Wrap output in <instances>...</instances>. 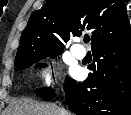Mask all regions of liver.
Segmentation results:
<instances>
[{
    "label": "liver",
    "instance_id": "1",
    "mask_svg": "<svg viewBox=\"0 0 131 115\" xmlns=\"http://www.w3.org/2000/svg\"><path fill=\"white\" fill-rule=\"evenodd\" d=\"M3 113L4 115H61V109L54 104L21 99L12 101Z\"/></svg>",
    "mask_w": 131,
    "mask_h": 115
}]
</instances>
